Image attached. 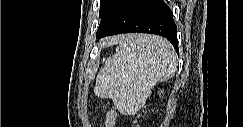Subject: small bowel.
Here are the masks:
<instances>
[{"label": "small bowel", "mask_w": 243, "mask_h": 127, "mask_svg": "<svg viewBox=\"0 0 243 127\" xmlns=\"http://www.w3.org/2000/svg\"><path fill=\"white\" fill-rule=\"evenodd\" d=\"M116 119H117V111L116 110H110L106 114L105 126L106 127H113L116 123Z\"/></svg>", "instance_id": "1"}]
</instances>
